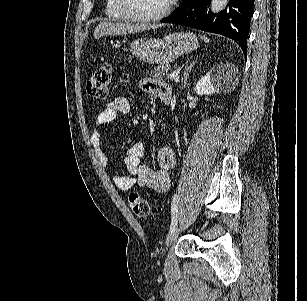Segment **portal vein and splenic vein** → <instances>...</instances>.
Masks as SVG:
<instances>
[{"label": "portal vein and splenic vein", "mask_w": 307, "mask_h": 301, "mask_svg": "<svg viewBox=\"0 0 307 301\" xmlns=\"http://www.w3.org/2000/svg\"><path fill=\"white\" fill-rule=\"evenodd\" d=\"M170 78H175V80H178L179 78V72H172V74H169Z\"/></svg>", "instance_id": "obj_1"}]
</instances>
